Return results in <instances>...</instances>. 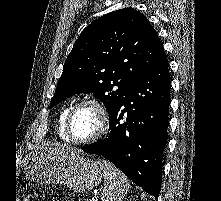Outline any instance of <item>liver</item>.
<instances>
[{"instance_id":"1","label":"liver","mask_w":221,"mask_h":201,"mask_svg":"<svg viewBox=\"0 0 221 201\" xmlns=\"http://www.w3.org/2000/svg\"><path fill=\"white\" fill-rule=\"evenodd\" d=\"M55 151H58V152H65V151H70L69 148L65 147V146H61V145H58L56 146L55 148H51Z\"/></svg>"}]
</instances>
